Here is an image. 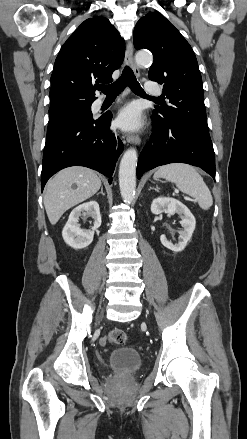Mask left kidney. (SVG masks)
<instances>
[{
	"label": "left kidney",
	"instance_id": "1",
	"mask_svg": "<svg viewBox=\"0 0 247 439\" xmlns=\"http://www.w3.org/2000/svg\"><path fill=\"white\" fill-rule=\"evenodd\" d=\"M151 212L155 215L165 212L169 215L177 213L180 218V224L183 230L180 231L179 242L172 243L168 241L165 235L160 236V241L163 246L173 252H180L184 250L188 241H190L195 230L196 220L190 210L179 200L170 197L155 198L151 204Z\"/></svg>",
	"mask_w": 247,
	"mask_h": 439
}]
</instances>
